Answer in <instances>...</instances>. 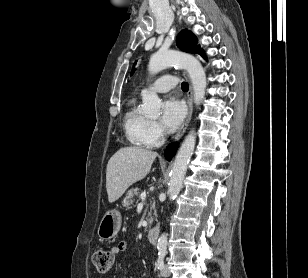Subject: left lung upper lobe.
Here are the masks:
<instances>
[{"label": "left lung upper lobe", "mask_w": 308, "mask_h": 278, "mask_svg": "<svg viewBox=\"0 0 308 278\" xmlns=\"http://www.w3.org/2000/svg\"><path fill=\"white\" fill-rule=\"evenodd\" d=\"M177 45L178 47L186 52L189 53H199L202 55L203 50L196 45L197 43V38L195 37V35L188 30H183L179 33V35L177 36ZM134 72V67H133V71L131 72V75Z\"/></svg>", "instance_id": "obj_1"}]
</instances>
